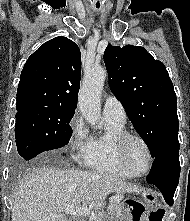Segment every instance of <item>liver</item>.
Wrapping results in <instances>:
<instances>
[{
  "mask_svg": "<svg viewBox=\"0 0 190 221\" xmlns=\"http://www.w3.org/2000/svg\"><path fill=\"white\" fill-rule=\"evenodd\" d=\"M113 192L139 193L140 189L107 174L35 167L14 191L12 221H70L54 215L64 214L70 205L101 208Z\"/></svg>",
  "mask_w": 190,
  "mask_h": 221,
  "instance_id": "obj_1",
  "label": "liver"
}]
</instances>
